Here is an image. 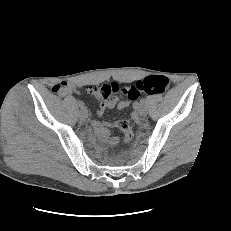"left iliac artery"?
<instances>
[{
	"label": "left iliac artery",
	"instance_id": "1",
	"mask_svg": "<svg viewBox=\"0 0 231 231\" xmlns=\"http://www.w3.org/2000/svg\"><path fill=\"white\" fill-rule=\"evenodd\" d=\"M140 102H141V104H146V102H147V101H146V99H145V98H143V99H141V101H140Z\"/></svg>",
	"mask_w": 231,
	"mask_h": 231
}]
</instances>
